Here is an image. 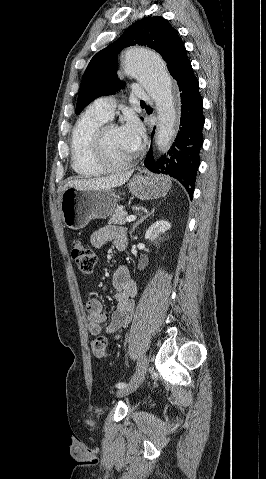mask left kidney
Wrapping results in <instances>:
<instances>
[{
    "mask_svg": "<svg viewBox=\"0 0 266 479\" xmlns=\"http://www.w3.org/2000/svg\"><path fill=\"white\" fill-rule=\"evenodd\" d=\"M171 228V224L165 220H159L152 224L145 233V239L150 241L156 240L161 233H165Z\"/></svg>",
    "mask_w": 266,
    "mask_h": 479,
    "instance_id": "left-kidney-1",
    "label": "left kidney"
}]
</instances>
